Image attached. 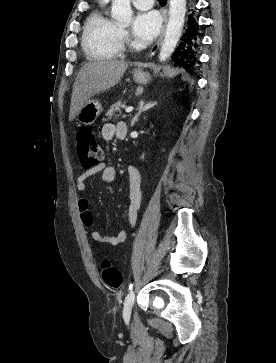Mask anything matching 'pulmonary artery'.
<instances>
[{
	"label": "pulmonary artery",
	"instance_id": "pulmonary-artery-1",
	"mask_svg": "<svg viewBox=\"0 0 276 363\" xmlns=\"http://www.w3.org/2000/svg\"><path fill=\"white\" fill-rule=\"evenodd\" d=\"M154 0H132L134 6L140 10H148L153 6Z\"/></svg>",
	"mask_w": 276,
	"mask_h": 363
}]
</instances>
